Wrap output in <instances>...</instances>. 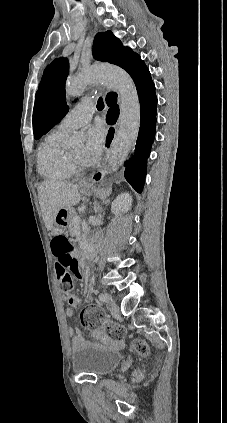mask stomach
I'll list each match as a JSON object with an SVG mask.
<instances>
[{
	"mask_svg": "<svg viewBox=\"0 0 227 423\" xmlns=\"http://www.w3.org/2000/svg\"><path fill=\"white\" fill-rule=\"evenodd\" d=\"M80 190H82L83 194H87V196H91V194L97 192L90 182H87V184H82V182H80Z\"/></svg>",
	"mask_w": 227,
	"mask_h": 423,
	"instance_id": "stomach-1",
	"label": "stomach"
}]
</instances>
